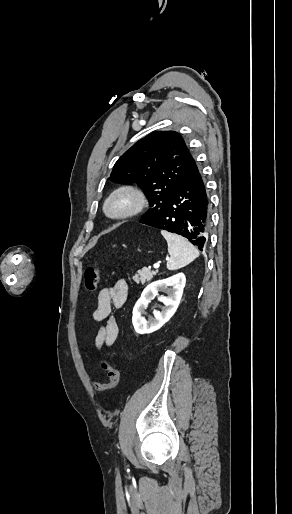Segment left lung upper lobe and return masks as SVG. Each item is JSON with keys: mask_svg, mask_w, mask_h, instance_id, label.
<instances>
[{"mask_svg": "<svg viewBox=\"0 0 292 514\" xmlns=\"http://www.w3.org/2000/svg\"><path fill=\"white\" fill-rule=\"evenodd\" d=\"M193 157L182 136L157 131L137 141L115 163L108 180L136 184L147 196L150 209L140 219L156 218L160 207L186 176Z\"/></svg>", "mask_w": 292, "mask_h": 514, "instance_id": "obj_1", "label": "left lung upper lobe"}]
</instances>
